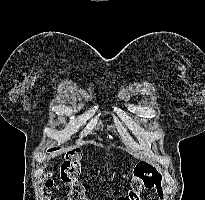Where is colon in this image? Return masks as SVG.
<instances>
[{"label":"colon","mask_w":205,"mask_h":200,"mask_svg":"<svg viewBox=\"0 0 205 200\" xmlns=\"http://www.w3.org/2000/svg\"><path fill=\"white\" fill-rule=\"evenodd\" d=\"M81 159V152L73 149L66 153L65 159L61 164L60 177L69 186V200H87L85 188L80 181ZM53 187V175L49 173L45 179V188L47 190L46 200H52L50 193ZM153 188L156 189L160 196L163 194L161 174L154 167L146 163H139L133 169L128 193L119 197L117 200H139L141 191Z\"/></svg>","instance_id":"5ec220e1"}]
</instances>
